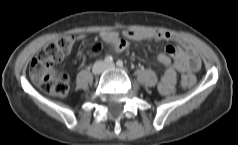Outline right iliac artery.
Masks as SVG:
<instances>
[{"mask_svg": "<svg viewBox=\"0 0 238 145\" xmlns=\"http://www.w3.org/2000/svg\"><path fill=\"white\" fill-rule=\"evenodd\" d=\"M104 61L107 64L113 63V57L112 56H106Z\"/></svg>", "mask_w": 238, "mask_h": 145, "instance_id": "1", "label": "right iliac artery"}]
</instances>
